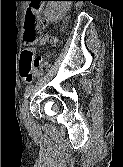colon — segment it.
Wrapping results in <instances>:
<instances>
[{"instance_id":"1","label":"colon","mask_w":123,"mask_h":167,"mask_svg":"<svg viewBox=\"0 0 123 167\" xmlns=\"http://www.w3.org/2000/svg\"><path fill=\"white\" fill-rule=\"evenodd\" d=\"M35 5L25 15L23 39L27 48L23 51L20 62V74L22 79H32V69L42 62L41 57H34L33 44L41 36L40 7Z\"/></svg>"}]
</instances>
